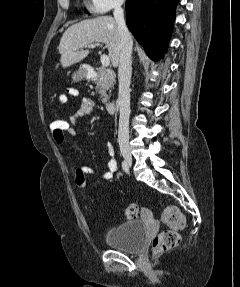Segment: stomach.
Here are the masks:
<instances>
[{
    "label": "stomach",
    "instance_id": "obj_1",
    "mask_svg": "<svg viewBox=\"0 0 240 287\" xmlns=\"http://www.w3.org/2000/svg\"><path fill=\"white\" fill-rule=\"evenodd\" d=\"M87 76L84 67H80L79 70L74 74L75 80H81Z\"/></svg>",
    "mask_w": 240,
    "mask_h": 287
}]
</instances>
